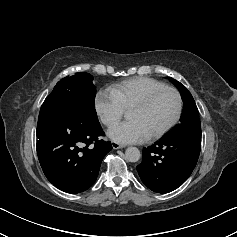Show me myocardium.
<instances>
[{"instance_id":"f54148a6","label":"myocardium","mask_w":237,"mask_h":237,"mask_svg":"<svg viewBox=\"0 0 237 237\" xmlns=\"http://www.w3.org/2000/svg\"><path fill=\"white\" fill-rule=\"evenodd\" d=\"M164 92H171L176 96L177 109H176V112H175V115L173 116V118L163 128H161L160 130H158L157 132H155L154 134H152L148 137V139L151 140V141L159 139L160 137H162L172 127H174L176 125V123L179 121V119L181 117V114H182V111H183V99H182V96H181L180 92L177 89L173 88V87L165 86V87H162V88L151 91L150 93L145 95L140 100L136 101L131 106V108L132 107L146 108L154 101V99L157 96H159L160 94H162Z\"/></svg>"}]
</instances>
